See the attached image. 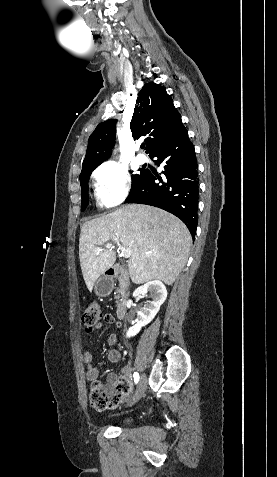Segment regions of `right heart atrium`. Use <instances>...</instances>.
I'll list each match as a JSON object with an SVG mask.
<instances>
[{
	"mask_svg": "<svg viewBox=\"0 0 277 477\" xmlns=\"http://www.w3.org/2000/svg\"><path fill=\"white\" fill-rule=\"evenodd\" d=\"M98 201L106 207L121 204L130 191V176L119 164L106 162L93 174Z\"/></svg>",
	"mask_w": 277,
	"mask_h": 477,
	"instance_id": "obj_1",
	"label": "right heart atrium"
}]
</instances>
